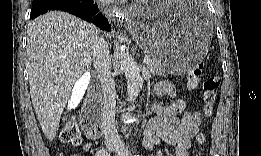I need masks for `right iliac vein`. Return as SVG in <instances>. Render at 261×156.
Masks as SVG:
<instances>
[{"label": "right iliac vein", "mask_w": 261, "mask_h": 156, "mask_svg": "<svg viewBox=\"0 0 261 156\" xmlns=\"http://www.w3.org/2000/svg\"><path fill=\"white\" fill-rule=\"evenodd\" d=\"M106 145H107V149H108L109 151H113V150H115L116 147H117V144L112 143V142H107Z\"/></svg>", "instance_id": "obj_1"}]
</instances>
